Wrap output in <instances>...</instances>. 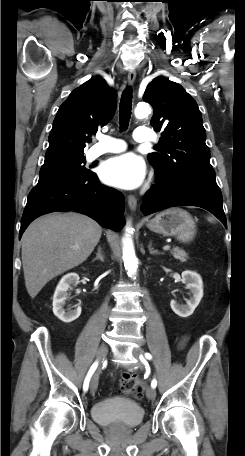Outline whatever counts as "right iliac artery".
I'll return each instance as SVG.
<instances>
[{
    "label": "right iliac artery",
    "mask_w": 245,
    "mask_h": 456,
    "mask_svg": "<svg viewBox=\"0 0 245 456\" xmlns=\"http://www.w3.org/2000/svg\"><path fill=\"white\" fill-rule=\"evenodd\" d=\"M97 366H98V362L95 361L92 366L90 367L88 373H87V376L84 380V384H83V390L86 392L89 388V382H90V379L93 375V373L95 372V370L97 369Z\"/></svg>",
    "instance_id": "82829eb1"
}]
</instances>
